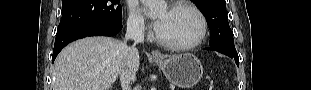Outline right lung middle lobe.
<instances>
[{
    "label": "right lung middle lobe",
    "mask_w": 311,
    "mask_h": 90,
    "mask_svg": "<svg viewBox=\"0 0 311 90\" xmlns=\"http://www.w3.org/2000/svg\"><path fill=\"white\" fill-rule=\"evenodd\" d=\"M120 0H63L57 33L85 24H120Z\"/></svg>",
    "instance_id": "dd1d6c3e"
}]
</instances>
